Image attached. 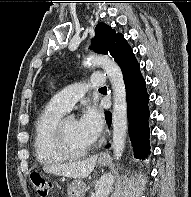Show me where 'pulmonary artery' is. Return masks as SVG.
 <instances>
[{"mask_svg":"<svg viewBox=\"0 0 191 197\" xmlns=\"http://www.w3.org/2000/svg\"><path fill=\"white\" fill-rule=\"evenodd\" d=\"M105 81V73L95 74L88 82L74 83L65 87L56 93L51 101L64 111H69L72 106L86 94L87 91L101 87L104 85Z\"/></svg>","mask_w":191,"mask_h":197,"instance_id":"pulmonary-artery-1","label":"pulmonary artery"}]
</instances>
